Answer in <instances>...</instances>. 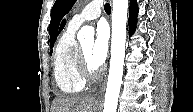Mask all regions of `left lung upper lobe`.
Wrapping results in <instances>:
<instances>
[{
  "mask_svg": "<svg viewBox=\"0 0 193 112\" xmlns=\"http://www.w3.org/2000/svg\"><path fill=\"white\" fill-rule=\"evenodd\" d=\"M76 0H56L51 10L49 25L50 47L52 48L58 36V26L62 17L69 12Z\"/></svg>",
  "mask_w": 193,
  "mask_h": 112,
  "instance_id": "obj_1",
  "label": "left lung upper lobe"
}]
</instances>
